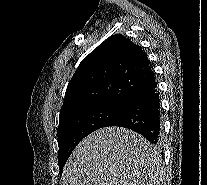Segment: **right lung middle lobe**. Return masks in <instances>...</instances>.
I'll return each instance as SVG.
<instances>
[{"instance_id": "1", "label": "right lung middle lobe", "mask_w": 207, "mask_h": 185, "mask_svg": "<svg viewBox=\"0 0 207 185\" xmlns=\"http://www.w3.org/2000/svg\"><path fill=\"white\" fill-rule=\"evenodd\" d=\"M120 110L119 106L103 104L84 109L59 121L57 136L60 174L76 145L91 132L106 127Z\"/></svg>"}]
</instances>
